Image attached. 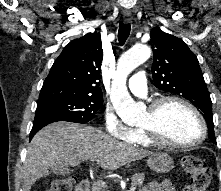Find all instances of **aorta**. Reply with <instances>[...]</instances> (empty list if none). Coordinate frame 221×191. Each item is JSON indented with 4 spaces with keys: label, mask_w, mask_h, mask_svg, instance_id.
Masks as SVG:
<instances>
[{
    "label": "aorta",
    "mask_w": 221,
    "mask_h": 191,
    "mask_svg": "<svg viewBox=\"0 0 221 191\" xmlns=\"http://www.w3.org/2000/svg\"><path fill=\"white\" fill-rule=\"evenodd\" d=\"M150 56L149 46L135 45L118 60L117 72L112 84L111 101L117 114L127 124L135 123L144 111L143 106L136 103L127 90V76Z\"/></svg>",
    "instance_id": "1"
}]
</instances>
